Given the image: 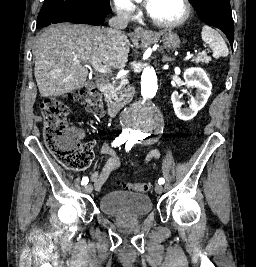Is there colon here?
Segmentation results:
<instances>
[{
	"label": "colon",
	"mask_w": 256,
	"mask_h": 267,
	"mask_svg": "<svg viewBox=\"0 0 256 267\" xmlns=\"http://www.w3.org/2000/svg\"><path fill=\"white\" fill-rule=\"evenodd\" d=\"M71 97L91 114L97 115L103 111L101 99L90 90H74ZM41 110L44 117V139L55 159L69 168H87L93 152L89 145L75 143L76 131L71 130L66 123L70 114L69 106L61 99L48 98L41 103ZM122 187L141 193L150 192L153 188L148 182H125Z\"/></svg>",
	"instance_id": "colon-1"
}]
</instances>
